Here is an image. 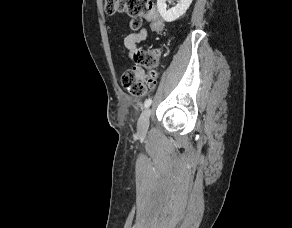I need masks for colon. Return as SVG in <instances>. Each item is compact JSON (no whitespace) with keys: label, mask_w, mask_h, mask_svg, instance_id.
Returning a JSON list of instances; mask_svg holds the SVG:
<instances>
[{"label":"colon","mask_w":292,"mask_h":228,"mask_svg":"<svg viewBox=\"0 0 292 228\" xmlns=\"http://www.w3.org/2000/svg\"><path fill=\"white\" fill-rule=\"evenodd\" d=\"M105 10L108 14L125 13L130 20V26L137 29L141 25V20L152 19L151 27L159 30L163 27V20L155 16L154 5L151 0H106ZM133 59L137 66L126 70L121 77L122 85L130 94L142 97L147 92L156 76L155 67L158 65L159 54L156 50L136 49ZM137 67H145L149 70L148 74H141Z\"/></svg>","instance_id":"obj_1"}]
</instances>
